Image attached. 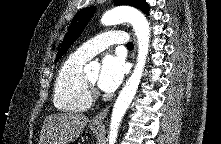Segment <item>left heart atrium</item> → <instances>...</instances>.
Returning a JSON list of instances; mask_svg holds the SVG:
<instances>
[{
	"instance_id": "obj_1",
	"label": "left heart atrium",
	"mask_w": 221,
	"mask_h": 144,
	"mask_svg": "<svg viewBox=\"0 0 221 144\" xmlns=\"http://www.w3.org/2000/svg\"><path fill=\"white\" fill-rule=\"evenodd\" d=\"M126 73V65L120 56L106 55L101 64L97 80L98 87L105 92L116 90Z\"/></svg>"
}]
</instances>
